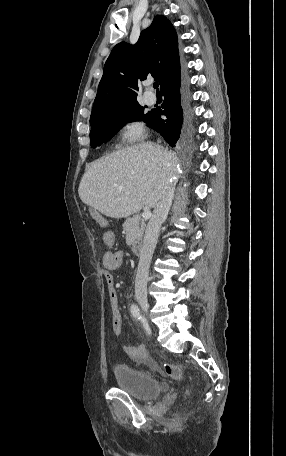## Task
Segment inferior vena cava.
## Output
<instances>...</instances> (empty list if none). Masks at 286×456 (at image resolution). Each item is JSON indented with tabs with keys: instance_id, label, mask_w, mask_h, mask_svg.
Masks as SVG:
<instances>
[{
	"instance_id": "obj_1",
	"label": "inferior vena cava",
	"mask_w": 286,
	"mask_h": 456,
	"mask_svg": "<svg viewBox=\"0 0 286 456\" xmlns=\"http://www.w3.org/2000/svg\"><path fill=\"white\" fill-rule=\"evenodd\" d=\"M173 197L174 188L171 184L161 188L153 215L147 224L143 245L140 251V259L135 279L136 296H147L150 263L158 241L161 224L168 216Z\"/></svg>"
}]
</instances>
